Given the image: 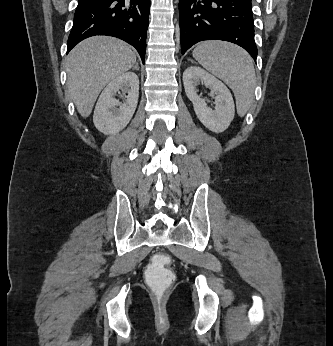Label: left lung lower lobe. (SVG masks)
Here are the masks:
<instances>
[{
  "label": "left lung lower lobe",
  "instance_id": "1",
  "mask_svg": "<svg viewBox=\"0 0 333 346\" xmlns=\"http://www.w3.org/2000/svg\"><path fill=\"white\" fill-rule=\"evenodd\" d=\"M181 53L203 40L243 47L256 61L251 0H179Z\"/></svg>",
  "mask_w": 333,
  "mask_h": 346
}]
</instances>
